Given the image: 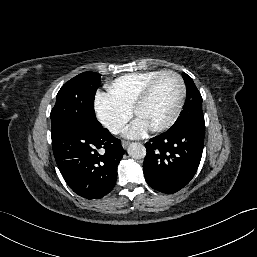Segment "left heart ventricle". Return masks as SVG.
Wrapping results in <instances>:
<instances>
[{"mask_svg": "<svg viewBox=\"0 0 257 257\" xmlns=\"http://www.w3.org/2000/svg\"><path fill=\"white\" fill-rule=\"evenodd\" d=\"M179 97V83L174 76L166 75L155 85L148 101L137 113L152 129L163 124L172 114Z\"/></svg>", "mask_w": 257, "mask_h": 257, "instance_id": "1", "label": "left heart ventricle"}]
</instances>
